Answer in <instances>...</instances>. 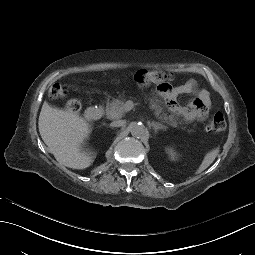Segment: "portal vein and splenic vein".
Here are the masks:
<instances>
[{"mask_svg":"<svg viewBox=\"0 0 255 255\" xmlns=\"http://www.w3.org/2000/svg\"><path fill=\"white\" fill-rule=\"evenodd\" d=\"M125 106L127 107L126 111L128 113H131L133 111V108L135 107V104L132 102V100H129L125 103Z\"/></svg>","mask_w":255,"mask_h":255,"instance_id":"18ae733b","label":"portal vein and splenic vein"}]
</instances>
